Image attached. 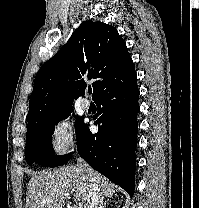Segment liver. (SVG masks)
Wrapping results in <instances>:
<instances>
[{
  "instance_id": "obj_1",
  "label": "liver",
  "mask_w": 199,
  "mask_h": 208,
  "mask_svg": "<svg viewBox=\"0 0 199 208\" xmlns=\"http://www.w3.org/2000/svg\"><path fill=\"white\" fill-rule=\"evenodd\" d=\"M100 193L112 198L116 186L106 177L93 171ZM90 179L78 166H65L36 173L27 187V208H63L65 199L74 196L77 208H86Z\"/></svg>"
}]
</instances>
